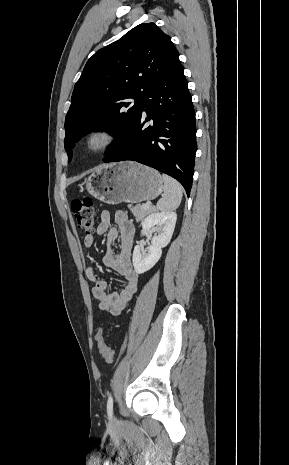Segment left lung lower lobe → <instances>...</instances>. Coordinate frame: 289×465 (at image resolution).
<instances>
[{
  "mask_svg": "<svg viewBox=\"0 0 289 465\" xmlns=\"http://www.w3.org/2000/svg\"><path fill=\"white\" fill-rule=\"evenodd\" d=\"M145 121L153 125L143 127ZM196 153L195 111L180 66L141 99V111L121 145L103 161H137L177 179L189 196Z\"/></svg>",
  "mask_w": 289,
  "mask_h": 465,
  "instance_id": "0a47b994",
  "label": "left lung lower lobe"
}]
</instances>
